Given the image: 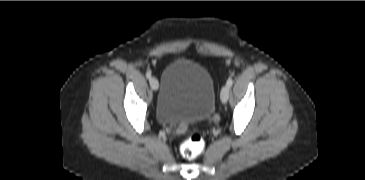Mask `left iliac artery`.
I'll use <instances>...</instances> for the list:
<instances>
[{
  "label": "left iliac artery",
  "instance_id": "44dca946",
  "mask_svg": "<svg viewBox=\"0 0 365 180\" xmlns=\"http://www.w3.org/2000/svg\"><path fill=\"white\" fill-rule=\"evenodd\" d=\"M232 84H233V80L230 78V79H228V81H227V86H229V87H231L232 86Z\"/></svg>",
  "mask_w": 365,
  "mask_h": 180
}]
</instances>
